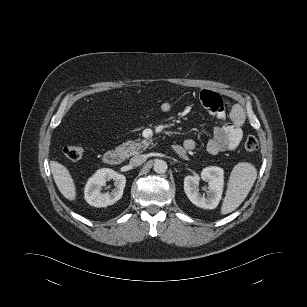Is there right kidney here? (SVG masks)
Wrapping results in <instances>:
<instances>
[{"mask_svg":"<svg viewBox=\"0 0 307 307\" xmlns=\"http://www.w3.org/2000/svg\"><path fill=\"white\" fill-rule=\"evenodd\" d=\"M113 179L115 188L109 193H102V187ZM126 177L109 168H102L89 178L85 186V200L95 207H106L117 202L123 195Z\"/></svg>","mask_w":307,"mask_h":307,"instance_id":"right-kidney-1","label":"right kidney"}]
</instances>
